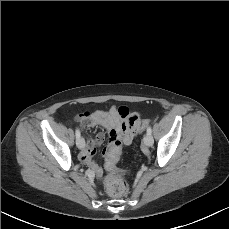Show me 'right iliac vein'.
Listing matches in <instances>:
<instances>
[{"mask_svg": "<svg viewBox=\"0 0 229 229\" xmlns=\"http://www.w3.org/2000/svg\"><path fill=\"white\" fill-rule=\"evenodd\" d=\"M76 145L79 149H82L85 145V140L83 137H80L79 139L76 140Z\"/></svg>", "mask_w": 229, "mask_h": 229, "instance_id": "63e3f726", "label": "right iliac vein"}]
</instances>
